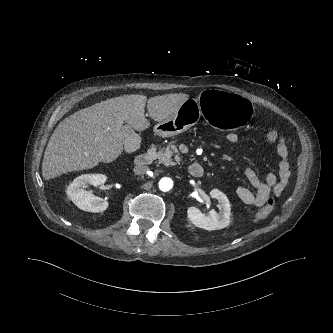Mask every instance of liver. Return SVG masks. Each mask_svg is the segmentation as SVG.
I'll use <instances>...</instances> for the list:
<instances>
[{
    "label": "liver",
    "mask_w": 333,
    "mask_h": 333,
    "mask_svg": "<svg viewBox=\"0 0 333 333\" xmlns=\"http://www.w3.org/2000/svg\"><path fill=\"white\" fill-rule=\"evenodd\" d=\"M189 95L166 94L151 97L123 95L96 103L70 115L54 130L46 147L42 175L46 180L62 174L91 169L100 162L114 161L125 143L123 122L138 131L150 126L147 109L154 121H163L177 112Z\"/></svg>",
    "instance_id": "1"
}]
</instances>
